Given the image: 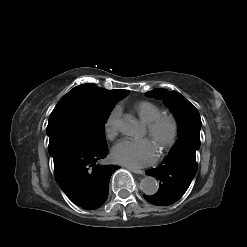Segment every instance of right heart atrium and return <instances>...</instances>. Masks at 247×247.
Listing matches in <instances>:
<instances>
[{"instance_id":"d8ad5b80","label":"right heart atrium","mask_w":247,"mask_h":247,"mask_svg":"<svg viewBox=\"0 0 247 247\" xmlns=\"http://www.w3.org/2000/svg\"><path fill=\"white\" fill-rule=\"evenodd\" d=\"M120 113V107L115 106L105 120L104 133L109 140H113L118 134Z\"/></svg>"}]
</instances>
